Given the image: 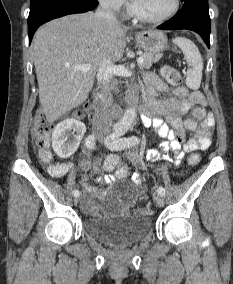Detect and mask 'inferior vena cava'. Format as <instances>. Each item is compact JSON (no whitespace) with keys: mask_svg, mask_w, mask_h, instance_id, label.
<instances>
[{"mask_svg":"<svg viewBox=\"0 0 233 284\" xmlns=\"http://www.w3.org/2000/svg\"><path fill=\"white\" fill-rule=\"evenodd\" d=\"M96 15L107 22L118 24V20L108 0H102L96 10ZM113 77V62L105 58L98 68L97 78L101 83L100 101L95 109L93 117L94 130L100 133H107L113 126L111 116L112 95L109 83Z\"/></svg>","mask_w":233,"mask_h":284,"instance_id":"1","label":"inferior vena cava"}]
</instances>
